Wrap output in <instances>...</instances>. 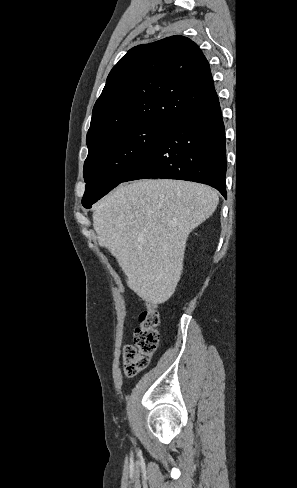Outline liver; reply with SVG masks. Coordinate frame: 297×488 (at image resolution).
Returning <instances> with one entry per match:
<instances>
[{
  "mask_svg": "<svg viewBox=\"0 0 297 488\" xmlns=\"http://www.w3.org/2000/svg\"><path fill=\"white\" fill-rule=\"evenodd\" d=\"M218 202L217 192L203 184L139 180L117 187L97 203L93 227L129 288L143 300L161 304L180 280L189 234Z\"/></svg>",
  "mask_w": 297,
  "mask_h": 488,
  "instance_id": "obj_1",
  "label": "liver"
}]
</instances>
